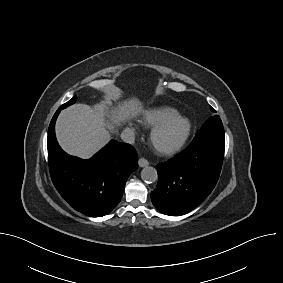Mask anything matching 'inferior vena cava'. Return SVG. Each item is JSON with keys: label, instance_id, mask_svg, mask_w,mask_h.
<instances>
[{"label": "inferior vena cava", "instance_id": "obj_1", "mask_svg": "<svg viewBox=\"0 0 283 283\" xmlns=\"http://www.w3.org/2000/svg\"><path fill=\"white\" fill-rule=\"evenodd\" d=\"M121 139L129 144L134 143L135 140V133L132 129L126 128L121 133Z\"/></svg>", "mask_w": 283, "mask_h": 283}]
</instances>
